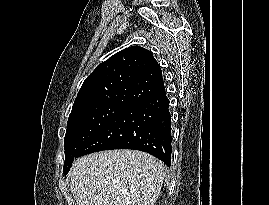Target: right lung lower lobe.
<instances>
[{
    "instance_id": "1",
    "label": "right lung lower lobe",
    "mask_w": 269,
    "mask_h": 205,
    "mask_svg": "<svg viewBox=\"0 0 269 205\" xmlns=\"http://www.w3.org/2000/svg\"><path fill=\"white\" fill-rule=\"evenodd\" d=\"M171 115L166 92L128 106L104 125L77 157L111 149L147 152L171 165Z\"/></svg>"
}]
</instances>
